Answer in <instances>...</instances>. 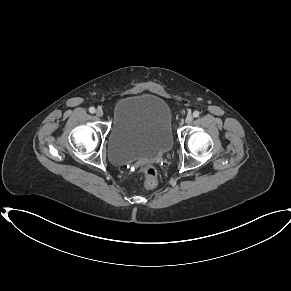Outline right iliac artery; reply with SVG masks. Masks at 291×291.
<instances>
[{"instance_id": "82829eb1", "label": "right iliac artery", "mask_w": 291, "mask_h": 291, "mask_svg": "<svg viewBox=\"0 0 291 291\" xmlns=\"http://www.w3.org/2000/svg\"><path fill=\"white\" fill-rule=\"evenodd\" d=\"M89 112H90V113H95V108H94V107H90V108H89Z\"/></svg>"}]
</instances>
